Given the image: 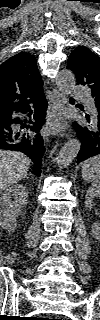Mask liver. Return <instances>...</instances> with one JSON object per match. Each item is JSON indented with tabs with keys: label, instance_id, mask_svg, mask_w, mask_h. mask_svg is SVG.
<instances>
[{
	"label": "liver",
	"instance_id": "6515ba94",
	"mask_svg": "<svg viewBox=\"0 0 100 320\" xmlns=\"http://www.w3.org/2000/svg\"><path fill=\"white\" fill-rule=\"evenodd\" d=\"M31 164V160L18 151H0V190L24 179Z\"/></svg>",
	"mask_w": 100,
	"mask_h": 320
}]
</instances>
